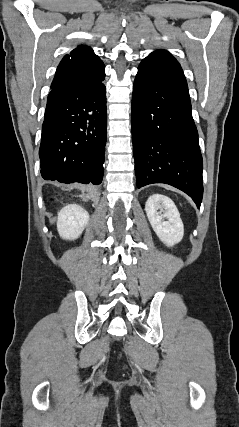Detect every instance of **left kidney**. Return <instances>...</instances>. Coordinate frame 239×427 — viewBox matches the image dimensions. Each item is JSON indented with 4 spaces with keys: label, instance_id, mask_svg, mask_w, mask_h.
<instances>
[{
    "label": "left kidney",
    "instance_id": "1",
    "mask_svg": "<svg viewBox=\"0 0 239 427\" xmlns=\"http://www.w3.org/2000/svg\"><path fill=\"white\" fill-rule=\"evenodd\" d=\"M148 220L159 239L171 247L180 242L184 227L174 202L161 194H153L146 201Z\"/></svg>",
    "mask_w": 239,
    "mask_h": 427
}]
</instances>
